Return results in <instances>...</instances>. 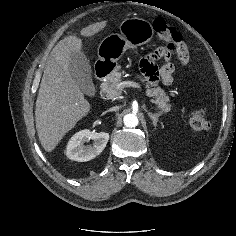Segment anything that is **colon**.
I'll return each instance as SVG.
<instances>
[{
  "label": "colon",
  "mask_w": 236,
  "mask_h": 236,
  "mask_svg": "<svg viewBox=\"0 0 236 236\" xmlns=\"http://www.w3.org/2000/svg\"><path fill=\"white\" fill-rule=\"evenodd\" d=\"M153 26L159 37L167 42V48L169 50L180 51L183 48H186L182 35L174 27L167 24L163 19H156ZM189 127L195 132H201L209 129L210 122L204 111L196 110L190 115Z\"/></svg>",
  "instance_id": "obj_1"
}]
</instances>
